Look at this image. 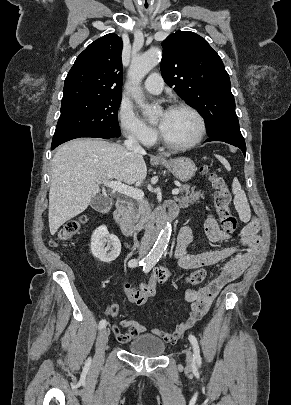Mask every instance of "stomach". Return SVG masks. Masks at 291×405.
<instances>
[{"label": "stomach", "mask_w": 291, "mask_h": 405, "mask_svg": "<svg viewBox=\"0 0 291 405\" xmlns=\"http://www.w3.org/2000/svg\"><path fill=\"white\" fill-rule=\"evenodd\" d=\"M160 164L165 166L177 179L183 182L189 181L197 170L195 163L189 158H177L170 160H160Z\"/></svg>", "instance_id": "0dacf381"}]
</instances>
